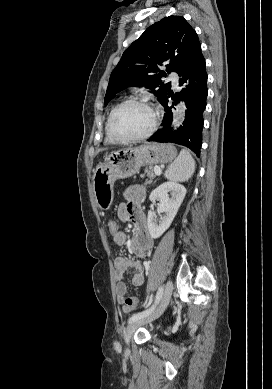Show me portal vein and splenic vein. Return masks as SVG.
Masks as SVG:
<instances>
[{"mask_svg": "<svg viewBox=\"0 0 272 389\" xmlns=\"http://www.w3.org/2000/svg\"><path fill=\"white\" fill-rule=\"evenodd\" d=\"M154 172H155L157 175H160V174H161V168L158 167V166H155V167H154Z\"/></svg>", "mask_w": 272, "mask_h": 389, "instance_id": "1", "label": "portal vein and splenic vein"}]
</instances>
